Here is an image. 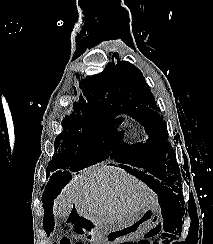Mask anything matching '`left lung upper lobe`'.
<instances>
[{"instance_id": "1", "label": "left lung upper lobe", "mask_w": 213, "mask_h": 244, "mask_svg": "<svg viewBox=\"0 0 213 244\" xmlns=\"http://www.w3.org/2000/svg\"><path fill=\"white\" fill-rule=\"evenodd\" d=\"M108 63L103 72L97 76L99 96L116 115L125 112L144 126L150 138L141 145H130L128 148L137 156L138 165L153 172L166 182L174 191H181V173L176 155L168 139L166 123L158 109L151 89L141 71L127 61L117 64Z\"/></svg>"}]
</instances>
